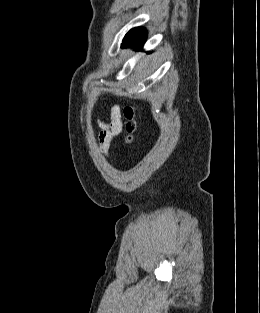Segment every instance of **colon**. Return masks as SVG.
I'll list each match as a JSON object with an SVG mask.
<instances>
[{"label": "colon", "mask_w": 260, "mask_h": 313, "mask_svg": "<svg viewBox=\"0 0 260 313\" xmlns=\"http://www.w3.org/2000/svg\"><path fill=\"white\" fill-rule=\"evenodd\" d=\"M123 116L125 119V143L130 144L134 141L138 131L135 107L132 105L126 106L123 109Z\"/></svg>", "instance_id": "5ec220e1"}]
</instances>
